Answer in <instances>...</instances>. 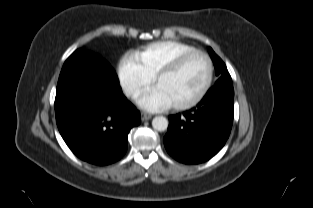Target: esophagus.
<instances>
[{"label": "esophagus", "mask_w": 313, "mask_h": 208, "mask_svg": "<svg viewBox=\"0 0 313 208\" xmlns=\"http://www.w3.org/2000/svg\"><path fill=\"white\" fill-rule=\"evenodd\" d=\"M151 118H152V115H151V114L146 113V112H142V113H141V120H142V121H147V120H149V119H151Z\"/></svg>", "instance_id": "34e87169"}]
</instances>
